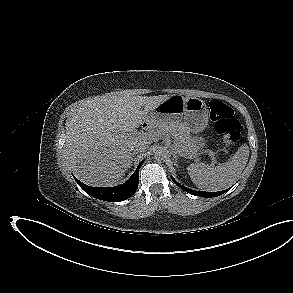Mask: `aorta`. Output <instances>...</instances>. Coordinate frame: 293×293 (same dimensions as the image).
<instances>
[{"mask_svg":"<svg viewBox=\"0 0 293 293\" xmlns=\"http://www.w3.org/2000/svg\"><path fill=\"white\" fill-rule=\"evenodd\" d=\"M166 155H167V150L163 147H158L154 152L155 158H158V159L164 158Z\"/></svg>","mask_w":293,"mask_h":293,"instance_id":"762f6f07","label":"aorta"}]
</instances>
